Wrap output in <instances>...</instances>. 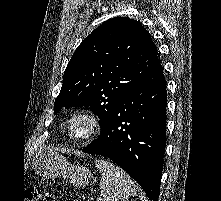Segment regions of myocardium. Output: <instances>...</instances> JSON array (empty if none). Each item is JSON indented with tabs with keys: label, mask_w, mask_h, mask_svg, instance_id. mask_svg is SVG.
Here are the masks:
<instances>
[{
	"label": "myocardium",
	"mask_w": 221,
	"mask_h": 201,
	"mask_svg": "<svg viewBox=\"0 0 221 201\" xmlns=\"http://www.w3.org/2000/svg\"><path fill=\"white\" fill-rule=\"evenodd\" d=\"M77 121H84L87 124L86 132L81 136L73 133V125ZM99 130V119L95 112L90 109L82 108L76 110L69 118L67 123L68 136L75 141H87L91 139Z\"/></svg>",
	"instance_id": "obj_1"
}]
</instances>
